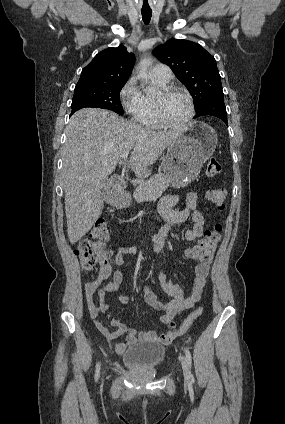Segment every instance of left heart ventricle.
<instances>
[{
  "mask_svg": "<svg viewBox=\"0 0 285 424\" xmlns=\"http://www.w3.org/2000/svg\"><path fill=\"white\" fill-rule=\"evenodd\" d=\"M156 100H160L162 102L164 117L170 123H181L189 114V104L184 96L173 95L163 98L162 94H159Z\"/></svg>",
  "mask_w": 285,
  "mask_h": 424,
  "instance_id": "b2bd125f",
  "label": "left heart ventricle"
}]
</instances>
